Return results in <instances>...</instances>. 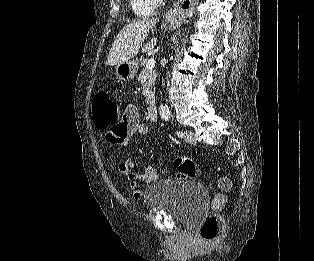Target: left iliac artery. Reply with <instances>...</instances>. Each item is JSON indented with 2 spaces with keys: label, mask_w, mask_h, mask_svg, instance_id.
<instances>
[{
  "label": "left iliac artery",
  "mask_w": 314,
  "mask_h": 261,
  "mask_svg": "<svg viewBox=\"0 0 314 261\" xmlns=\"http://www.w3.org/2000/svg\"><path fill=\"white\" fill-rule=\"evenodd\" d=\"M176 135H177L178 137H180V138H182V137L184 136L183 132H181V131H177V132H176Z\"/></svg>",
  "instance_id": "44dca946"
}]
</instances>
